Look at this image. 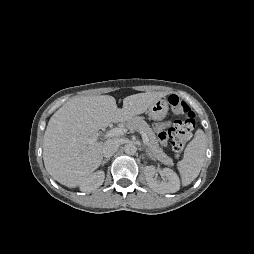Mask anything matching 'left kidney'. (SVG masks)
Listing matches in <instances>:
<instances>
[{
  "instance_id": "left-kidney-1",
  "label": "left kidney",
  "mask_w": 254,
  "mask_h": 254,
  "mask_svg": "<svg viewBox=\"0 0 254 254\" xmlns=\"http://www.w3.org/2000/svg\"><path fill=\"white\" fill-rule=\"evenodd\" d=\"M166 177L165 182H160L155 178L157 168L155 166H146L144 174L148 186L157 193H175L180 189V180L178 175L169 168H164L160 171Z\"/></svg>"
}]
</instances>
